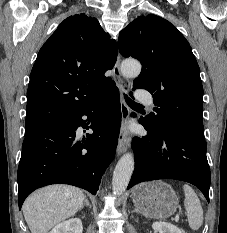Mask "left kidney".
Segmentation results:
<instances>
[{"instance_id": "1", "label": "left kidney", "mask_w": 227, "mask_h": 233, "mask_svg": "<svg viewBox=\"0 0 227 233\" xmlns=\"http://www.w3.org/2000/svg\"><path fill=\"white\" fill-rule=\"evenodd\" d=\"M152 228L155 233H183L177 226L166 222H154Z\"/></svg>"}]
</instances>
